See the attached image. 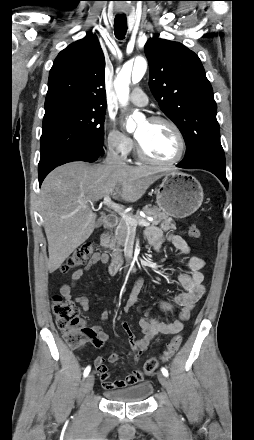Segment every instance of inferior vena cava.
Wrapping results in <instances>:
<instances>
[{
	"label": "inferior vena cava",
	"instance_id": "602c4592",
	"mask_svg": "<svg viewBox=\"0 0 254 440\" xmlns=\"http://www.w3.org/2000/svg\"><path fill=\"white\" fill-rule=\"evenodd\" d=\"M107 163H112L115 165L123 166L125 165L124 159L119 155L117 151V144L113 143L109 146L107 157H106Z\"/></svg>",
	"mask_w": 254,
	"mask_h": 440
}]
</instances>
